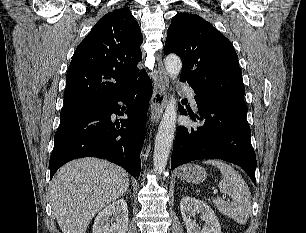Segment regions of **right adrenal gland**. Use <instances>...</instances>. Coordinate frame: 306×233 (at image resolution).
<instances>
[{
    "label": "right adrenal gland",
    "instance_id": "1",
    "mask_svg": "<svg viewBox=\"0 0 306 233\" xmlns=\"http://www.w3.org/2000/svg\"><path fill=\"white\" fill-rule=\"evenodd\" d=\"M127 193H129V194H131V192H130V190L129 189H127V191H126Z\"/></svg>",
    "mask_w": 306,
    "mask_h": 233
}]
</instances>
